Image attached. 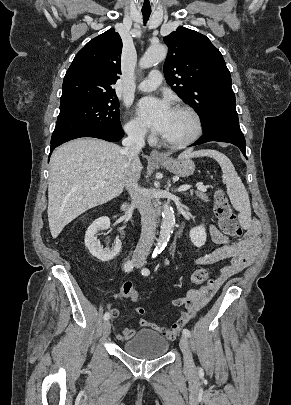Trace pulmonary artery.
Segmentation results:
<instances>
[{
  "instance_id": "pulmonary-artery-1",
  "label": "pulmonary artery",
  "mask_w": 291,
  "mask_h": 405,
  "mask_svg": "<svg viewBox=\"0 0 291 405\" xmlns=\"http://www.w3.org/2000/svg\"><path fill=\"white\" fill-rule=\"evenodd\" d=\"M162 74L158 70H153L149 73L148 77L139 83L138 89L140 91L155 90L162 83Z\"/></svg>"
}]
</instances>
